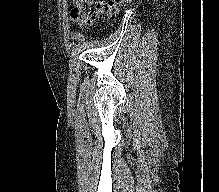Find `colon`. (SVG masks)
<instances>
[{"instance_id": "obj_1", "label": "colon", "mask_w": 219, "mask_h": 192, "mask_svg": "<svg viewBox=\"0 0 219 192\" xmlns=\"http://www.w3.org/2000/svg\"><path fill=\"white\" fill-rule=\"evenodd\" d=\"M132 0H74L71 19L80 27L89 25L96 19L109 18Z\"/></svg>"}]
</instances>
